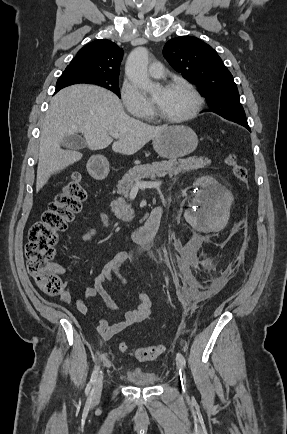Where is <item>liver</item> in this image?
<instances>
[{"mask_svg":"<svg viewBox=\"0 0 287 434\" xmlns=\"http://www.w3.org/2000/svg\"><path fill=\"white\" fill-rule=\"evenodd\" d=\"M168 126H151L128 116L119 98L104 88L74 85L57 93L45 115L39 145L36 191L59 173L82 158L79 152L60 148L64 138L82 133L91 150L112 143L111 133H118L112 149L132 155L161 134Z\"/></svg>","mask_w":287,"mask_h":434,"instance_id":"1","label":"liver"}]
</instances>
